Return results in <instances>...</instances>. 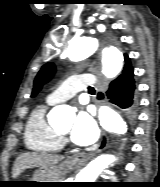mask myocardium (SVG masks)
Here are the masks:
<instances>
[{
  "label": "myocardium",
  "mask_w": 160,
  "mask_h": 187,
  "mask_svg": "<svg viewBox=\"0 0 160 187\" xmlns=\"http://www.w3.org/2000/svg\"><path fill=\"white\" fill-rule=\"evenodd\" d=\"M59 136L62 138V140H66V136L62 134L61 132H58Z\"/></svg>",
  "instance_id": "1"
}]
</instances>
